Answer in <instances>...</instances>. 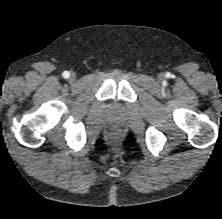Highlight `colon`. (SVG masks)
<instances>
[{
	"label": "colon",
	"mask_w": 222,
	"mask_h": 219,
	"mask_svg": "<svg viewBox=\"0 0 222 219\" xmlns=\"http://www.w3.org/2000/svg\"><path fill=\"white\" fill-rule=\"evenodd\" d=\"M118 138V134L116 132L111 133V139L116 140Z\"/></svg>",
	"instance_id": "colon-1"
}]
</instances>
